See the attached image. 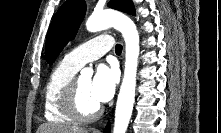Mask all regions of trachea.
<instances>
[{
  "mask_svg": "<svg viewBox=\"0 0 221 133\" xmlns=\"http://www.w3.org/2000/svg\"><path fill=\"white\" fill-rule=\"evenodd\" d=\"M115 52H116V54H121V52H122V45L117 44L115 46Z\"/></svg>",
  "mask_w": 221,
  "mask_h": 133,
  "instance_id": "3493384b",
  "label": "trachea"
}]
</instances>
